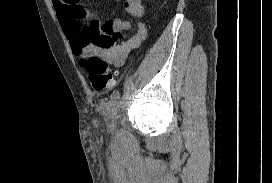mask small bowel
I'll return each mask as SVG.
<instances>
[{
	"label": "small bowel",
	"mask_w": 272,
	"mask_h": 183,
	"mask_svg": "<svg viewBox=\"0 0 272 183\" xmlns=\"http://www.w3.org/2000/svg\"><path fill=\"white\" fill-rule=\"evenodd\" d=\"M53 5L72 51L81 60L95 55L120 67L146 39L142 0H123L126 13L136 22L133 32L128 21L115 19L103 23L99 16L85 8L79 0H53ZM124 30H128L125 36H131L126 40L122 35Z\"/></svg>",
	"instance_id": "small-bowel-1"
}]
</instances>
